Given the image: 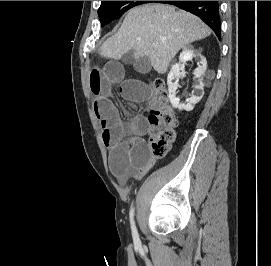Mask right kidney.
Listing matches in <instances>:
<instances>
[{
	"label": "right kidney",
	"mask_w": 271,
	"mask_h": 266,
	"mask_svg": "<svg viewBox=\"0 0 271 266\" xmlns=\"http://www.w3.org/2000/svg\"><path fill=\"white\" fill-rule=\"evenodd\" d=\"M195 57L198 59V67L194 70V78L196 84L194 85V90L192 91L191 97L186 100V103H180V99L176 97V90L179 86L178 81L185 72L184 64L190 58ZM207 69L206 59L199 53H197L193 47L188 46L183 49L179 56V63L172 66L168 76L167 84L169 91V100L173 107L179 110L191 111L194 106L202 99L204 95V82L203 75Z\"/></svg>",
	"instance_id": "1"
}]
</instances>
